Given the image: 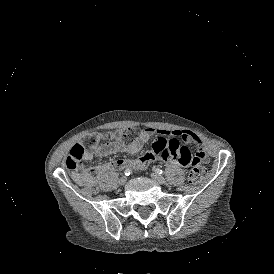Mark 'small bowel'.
I'll list each match as a JSON object with an SVG mask.
<instances>
[{
	"instance_id": "1",
	"label": "small bowel",
	"mask_w": 274,
	"mask_h": 274,
	"mask_svg": "<svg viewBox=\"0 0 274 274\" xmlns=\"http://www.w3.org/2000/svg\"><path fill=\"white\" fill-rule=\"evenodd\" d=\"M155 135H168L178 137L185 143L191 144L195 148L194 151L184 143L177 139H157L152 144L151 152L143 150L139 152L136 160L117 159L113 162L104 163L95 168L97 174L106 173L112 169H125L128 167H136L140 171L149 168L151 161L158 163L162 160H170V163H179L182 166L191 165L194 160H205L206 151L201 139L190 131L175 130L168 131L157 129L154 127H145L140 130L138 137L131 143L125 144L119 141H109L97 145L93 151L85 152L84 161H90L93 157H105L111 154L129 152L137 153L145 144H147ZM73 179L78 183H86L90 180V176L86 173L75 172Z\"/></svg>"
}]
</instances>
